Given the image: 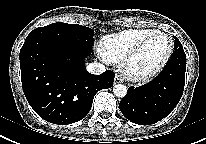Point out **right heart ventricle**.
Listing matches in <instances>:
<instances>
[{
    "mask_svg": "<svg viewBox=\"0 0 206 144\" xmlns=\"http://www.w3.org/2000/svg\"><path fill=\"white\" fill-rule=\"evenodd\" d=\"M155 31V29L141 28L111 34L102 39L100 49L108 61L118 63L141 40Z\"/></svg>",
    "mask_w": 206,
    "mask_h": 144,
    "instance_id": "right-heart-ventricle-1",
    "label": "right heart ventricle"
}]
</instances>
